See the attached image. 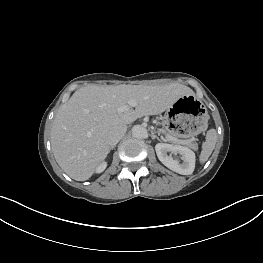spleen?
<instances>
[{
    "label": "spleen",
    "mask_w": 263,
    "mask_h": 263,
    "mask_svg": "<svg viewBox=\"0 0 263 263\" xmlns=\"http://www.w3.org/2000/svg\"><path fill=\"white\" fill-rule=\"evenodd\" d=\"M217 140V133L215 129H211L207 132L206 141L203 143L202 151L199 157L201 163L208 160L209 156L212 154Z\"/></svg>",
    "instance_id": "1"
}]
</instances>
